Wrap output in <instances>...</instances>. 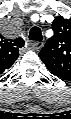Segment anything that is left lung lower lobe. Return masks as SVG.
Instances as JSON below:
<instances>
[{"label":"left lung lower lobe","mask_w":71,"mask_h":119,"mask_svg":"<svg viewBox=\"0 0 71 119\" xmlns=\"http://www.w3.org/2000/svg\"><path fill=\"white\" fill-rule=\"evenodd\" d=\"M56 76H58L59 78L63 79V80H70L71 77L67 76V75H61V74H57V73H53Z\"/></svg>","instance_id":"1"}]
</instances>
